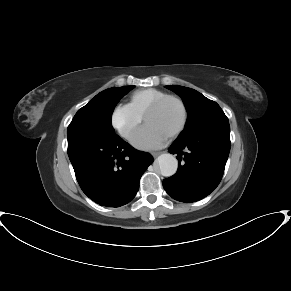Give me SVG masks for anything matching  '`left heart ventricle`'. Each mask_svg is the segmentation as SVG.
<instances>
[{
	"label": "left heart ventricle",
	"mask_w": 291,
	"mask_h": 291,
	"mask_svg": "<svg viewBox=\"0 0 291 291\" xmlns=\"http://www.w3.org/2000/svg\"><path fill=\"white\" fill-rule=\"evenodd\" d=\"M182 119V111L175 101L166 102L159 110L149 115L146 124L169 136L178 127Z\"/></svg>",
	"instance_id": "obj_1"
}]
</instances>
